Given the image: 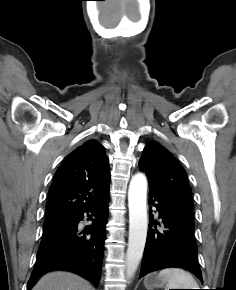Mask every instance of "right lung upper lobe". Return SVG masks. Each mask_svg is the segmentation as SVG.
Instances as JSON below:
<instances>
[{
  "label": "right lung upper lobe",
  "mask_w": 236,
  "mask_h": 290,
  "mask_svg": "<svg viewBox=\"0 0 236 290\" xmlns=\"http://www.w3.org/2000/svg\"><path fill=\"white\" fill-rule=\"evenodd\" d=\"M104 149L91 140L66 156L49 189L46 220L69 218L108 193L109 160Z\"/></svg>",
  "instance_id": "obj_1"
}]
</instances>
